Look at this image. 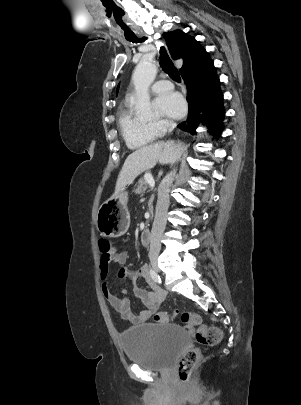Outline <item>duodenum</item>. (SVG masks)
<instances>
[{"label":"duodenum","mask_w":301,"mask_h":405,"mask_svg":"<svg viewBox=\"0 0 301 405\" xmlns=\"http://www.w3.org/2000/svg\"><path fill=\"white\" fill-rule=\"evenodd\" d=\"M140 240L143 245L148 246L151 241V235L148 230H143L141 235H140Z\"/></svg>","instance_id":"duodenum-1"}]
</instances>
